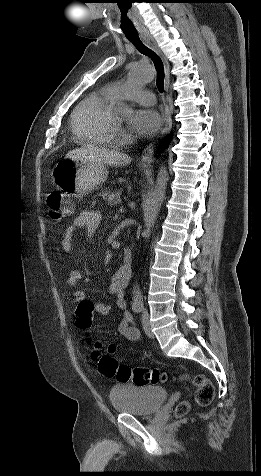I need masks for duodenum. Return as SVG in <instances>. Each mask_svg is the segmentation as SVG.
Segmentation results:
<instances>
[{
    "label": "duodenum",
    "instance_id": "obj_1",
    "mask_svg": "<svg viewBox=\"0 0 261 476\" xmlns=\"http://www.w3.org/2000/svg\"><path fill=\"white\" fill-rule=\"evenodd\" d=\"M132 262H133V253L130 248H125L123 252V265L122 268L124 271L130 275L132 270Z\"/></svg>",
    "mask_w": 261,
    "mask_h": 476
}]
</instances>
